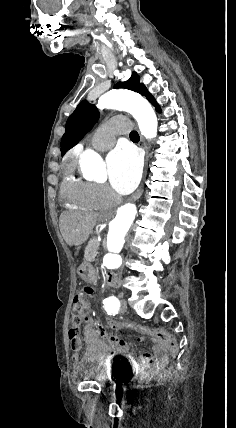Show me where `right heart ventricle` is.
<instances>
[{
    "label": "right heart ventricle",
    "instance_id": "obj_1",
    "mask_svg": "<svg viewBox=\"0 0 236 428\" xmlns=\"http://www.w3.org/2000/svg\"><path fill=\"white\" fill-rule=\"evenodd\" d=\"M84 156L77 155L68 166L66 174L61 182L60 194L62 198L78 207L88 210H98L102 207L103 201L100 200L95 191L94 184L85 179L76 177L73 173L75 166H81Z\"/></svg>",
    "mask_w": 236,
    "mask_h": 428
}]
</instances>
